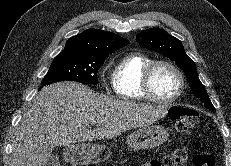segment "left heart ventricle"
<instances>
[{
	"label": "left heart ventricle",
	"mask_w": 231,
	"mask_h": 166,
	"mask_svg": "<svg viewBox=\"0 0 231 166\" xmlns=\"http://www.w3.org/2000/svg\"><path fill=\"white\" fill-rule=\"evenodd\" d=\"M151 84L154 93L162 99L172 97L179 87L177 75L172 69L163 65L155 69Z\"/></svg>",
	"instance_id": "1"
}]
</instances>
